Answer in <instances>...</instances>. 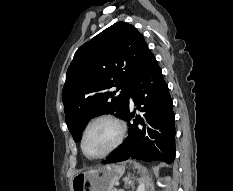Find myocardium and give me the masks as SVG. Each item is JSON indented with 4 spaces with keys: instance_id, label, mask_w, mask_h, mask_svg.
Instances as JSON below:
<instances>
[{
    "instance_id": "f54148a6",
    "label": "myocardium",
    "mask_w": 233,
    "mask_h": 191,
    "mask_svg": "<svg viewBox=\"0 0 233 191\" xmlns=\"http://www.w3.org/2000/svg\"><path fill=\"white\" fill-rule=\"evenodd\" d=\"M99 121H108L110 123H112L113 125H115V127L117 128V137L115 139V141L112 143V145L101 155L98 156H91L89 155L86 150H85V137H86V133L88 131V129L96 122ZM126 136V126L124 124L123 121H121L119 118L109 115V114H102V115H98L95 116L94 118H92L84 127L83 131H82V135H81V141H80V146H81V150L83 152V154L91 160H100L105 158L107 155H109L110 153H112L114 150H116L124 141Z\"/></svg>"
}]
</instances>
